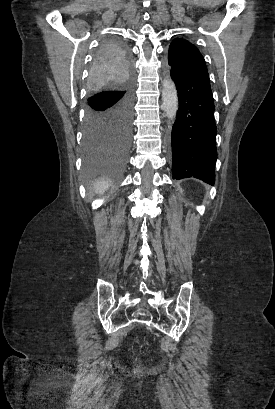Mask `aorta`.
Returning <instances> with one entry per match:
<instances>
[{
    "label": "aorta",
    "instance_id": "762f6f07",
    "mask_svg": "<svg viewBox=\"0 0 275 409\" xmlns=\"http://www.w3.org/2000/svg\"><path fill=\"white\" fill-rule=\"evenodd\" d=\"M164 110L168 118H175L178 110V94L171 78H164L162 88Z\"/></svg>",
    "mask_w": 275,
    "mask_h": 409
}]
</instances>
